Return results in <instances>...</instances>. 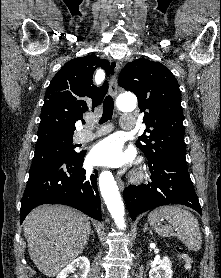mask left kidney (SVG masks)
<instances>
[{"label": "left kidney", "instance_id": "left-kidney-1", "mask_svg": "<svg viewBox=\"0 0 221 278\" xmlns=\"http://www.w3.org/2000/svg\"><path fill=\"white\" fill-rule=\"evenodd\" d=\"M172 264L168 257L163 260L154 268L149 271V278H172L173 271Z\"/></svg>", "mask_w": 221, "mask_h": 278}]
</instances>
